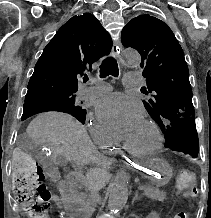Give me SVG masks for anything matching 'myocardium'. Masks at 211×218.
<instances>
[{
  "mask_svg": "<svg viewBox=\"0 0 211 218\" xmlns=\"http://www.w3.org/2000/svg\"><path fill=\"white\" fill-rule=\"evenodd\" d=\"M145 122L149 125V127L152 129L155 135V143L148 150H138V149L130 147L125 141L123 143V149L133 157L147 158V157L153 156L157 153V151L160 149L162 145V134H161V131L158 125L151 119H148Z\"/></svg>",
  "mask_w": 211,
  "mask_h": 218,
  "instance_id": "f54148a6",
  "label": "myocardium"
}]
</instances>
